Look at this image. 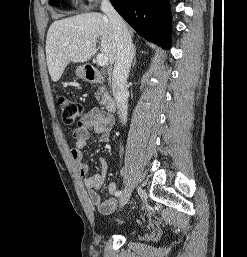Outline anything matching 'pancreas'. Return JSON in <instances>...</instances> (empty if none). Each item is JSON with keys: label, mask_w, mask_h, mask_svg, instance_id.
I'll return each mask as SVG.
<instances>
[{"label": "pancreas", "mask_w": 247, "mask_h": 257, "mask_svg": "<svg viewBox=\"0 0 247 257\" xmlns=\"http://www.w3.org/2000/svg\"><path fill=\"white\" fill-rule=\"evenodd\" d=\"M106 88L104 86H99L98 88V91H97V96H96V99L98 101H100V105H105L106 104V98H107V95H106ZM100 96L102 97V100H100Z\"/></svg>", "instance_id": "cf45deb5"}]
</instances>
